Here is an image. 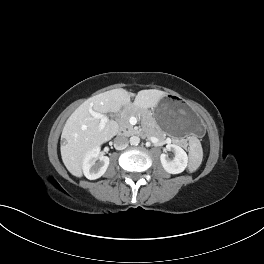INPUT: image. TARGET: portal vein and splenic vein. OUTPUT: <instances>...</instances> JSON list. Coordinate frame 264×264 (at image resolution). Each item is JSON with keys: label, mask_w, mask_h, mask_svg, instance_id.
<instances>
[{"label": "portal vein and splenic vein", "mask_w": 264, "mask_h": 264, "mask_svg": "<svg viewBox=\"0 0 264 264\" xmlns=\"http://www.w3.org/2000/svg\"><path fill=\"white\" fill-rule=\"evenodd\" d=\"M90 114L93 118L100 119L99 129H104L106 123L108 122V117L95 111H91Z\"/></svg>", "instance_id": "1"}]
</instances>
